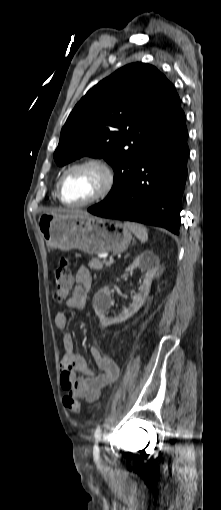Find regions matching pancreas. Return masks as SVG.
Segmentation results:
<instances>
[{
  "instance_id": "pancreas-1",
  "label": "pancreas",
  "mask_w": 221,
  "mask_h": 510,
  "mask_svg": "<svg viewBox=\"0 0 221 510\" xmlns=\"http://www.w3.org/2000/svg\"><path fill=\"white\" fill-rule=\"evenodd\" d=\"M88 266L93 270H102L104 268V263L101 260L94 258L89 262ZM106 267H109V265H106Z\"/></svg>"
}]
</instances>
